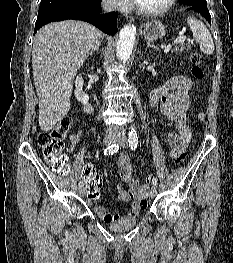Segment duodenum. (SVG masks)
<instances>
[{
  "label": "duodenum",
  "mask_w": 233,
  "mask_h": 263,
  "mask_svg": "<svg viewBox=\"0 0 233 263\" xmlns=\"http://www.w3.org/2000/svg\"><path fill=\"white\" fill-rule=\"evenodd\" d=\"M84 111H85V112H91V111H92V106H91V104H86V105L84 106Z\"/></svg>",
  "instance_id": "obj_1"
}]
</instances>
